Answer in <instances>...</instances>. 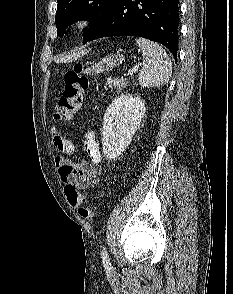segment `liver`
I'll return each instance as SVG.
<instances>
[{"label":"liver","instance_id":"obj_1","mask_svg":"<svg viewBox=\"0 0 233 294\" xmlns=\"http://www.w3.org/2000/svg\"><path fill=\"white\" fill-rule=\"evenodd\" d=\"M82 53H78V54H75V55L63 57L60 61H70L73 57H77L78 55H80Z\"/></svg>","mask_w":233,"mask_h":294}]
</instances>
